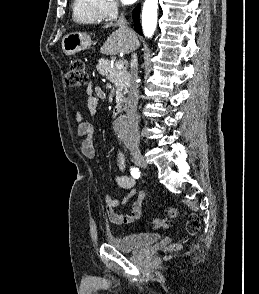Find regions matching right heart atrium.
I'll list each match as a JSON object with an SVG mask.
<instances>
[{
  "label": "right heart atrium",
  "instance_id": "d8ad5b80",
  "mask_svg": "<svg viewBox=\"0 0 259 294\" xmlns=\"http://www.w3.org/2000/svg\"><path fill=\"white\" fill-rule=\"evenodd\" d=\"M105 19L111 20L118 16L120 6L116 0H100Z\"/></svg>",
  "mask_w": 259,
  "mask_h": 294
}]
</instances>
